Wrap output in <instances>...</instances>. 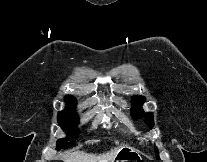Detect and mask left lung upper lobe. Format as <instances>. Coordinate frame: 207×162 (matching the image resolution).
I'll list each match as a JSON object with an SVG mask.
<instances>
[{"label": "left lung upper lobe", "instance_id": "5c2ea615", "mask_svg": "<svg viewBox=\"0 0 207 162\" xmlns=\"http://www.w3.org/2000/svg\"><path fill=\"white\" fill-rule=\"evenodd\" d=\"M145 102V98L142 96H134L132 99V109H131V116L134 119H139V118H145V122L149 126V128H152L154 125L153 122V114L152 113H145L142 104ZM156 155H158V151L156 150ZM157 159H159L157 157Z\"/></svg>", "mask_w": 207, "mask_h": 162}]
</instances>
